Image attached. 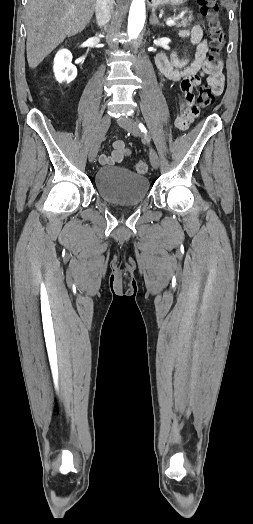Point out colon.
I'll return each mask as SVG.
<instances>
[{
    "mask_svg": "<svg viewBox=\"0 0 253 524\" xmlns=\"http://www.w3.org/2000/svg\"><path fill=\"white\" fill-rule=\"evenodd\" d=\"M200 11L207 21L210 36V59L217 60L222 55L224 47V30L218 14V4L216 0H197ZM213 90L209 86H201L197 92V101L203 106L211 103ZM138 173L144 174L148 166L143 161H138L135 165Z\"/></svg>",
    "mask_w": 253,
    "mask_h": 524,
    "instance_id": "5ec220e1",
    "label": "colon"
}]
</instances>
